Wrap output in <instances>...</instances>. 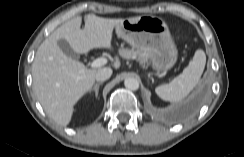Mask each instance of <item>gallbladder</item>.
Wrapping results in <instances>:
<instances>
[{
    "label": "gallbladder",
    "mask_w": 244,
    "mask_h": 157,
    "mask_svg": "<svg viewBox=\"0 0 244 157\" xmlns=\"http://www.w3.org/2000/svg\"><path fill=\"white\" fill-rule=\"evenodd\" d=\"M58 46L61 48V50L64 52V54L72 59H79V55L70 47L67 41L64 39H60L58 41Z\"/></svg>",
    "instance_id": "gallbladder-1"
}]
</instances>
